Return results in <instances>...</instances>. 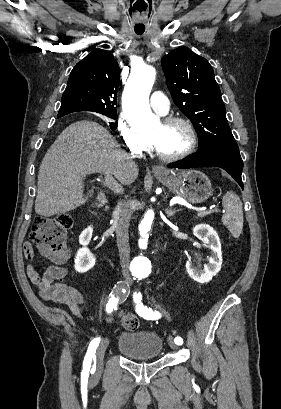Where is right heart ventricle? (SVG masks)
I'll list each match as a JSON object with an SVG mask.
<instances>
[{
	"mask_svg": "<svg viewBox=\"0 0 281 409\" xmlns=\"http://www.w3.org/2000/svg\"><path fill=\"white\" fill-rule=\"evenodd\" d=\"M144 148H145V145H144V147H142L141 149H139V150H137V151H135V152H141V151L144 150Z\"/></svg>",
	"mask_w": 281,
	"mask_h": 409,
	"instance_id": "e07e8e85",
	"label": "right heart ventricle"
}]
</instances>
